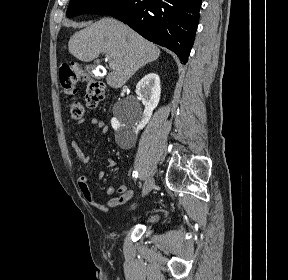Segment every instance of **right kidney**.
<instances>
[{
	"label": "right kidney",
	"mask_w": 288,
	"mask_h": 280,
	"mask_svg": "<svg viewBox=\"0 0 288 280\" xmlns=\"http://www.w3.org/2000/svg\"><path fill=\"white\" fill-rule=\"evenodd\" d=\"M136 94L138 95V98L141 100L142 104L145 106L144 113L137 127H122L115 118H113L111 121L112 127L117 133L115 137L118 143H121L124 137H130V139L134 140L138 134V131L143 129L149 122L153 110L157 107L160 100L161 87L159 76L155 73H149L148 75L144 76L136 85Z\"/></svg>",
	"instance_id": "1"
}]
</instances>
